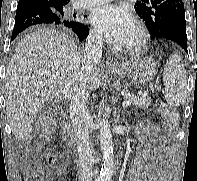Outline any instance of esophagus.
I'll return each instance as SVG.
<instances>
[{
  "instance_id": "obj_1",
  "label": "esophagus",
  "mask_w": 197,
  "mask_h": 181,
  "mask_svg": "<svg viewBox=\"0 0 197 181\" xmlns=\"http://www.w3.org/2000/svg\"><path fill=\"white\" fill-rule=\"evenodd\" d=\"M107 65L110 68H116V63L112 59L107 61Z\"/></svg>"
}]
</instances>
